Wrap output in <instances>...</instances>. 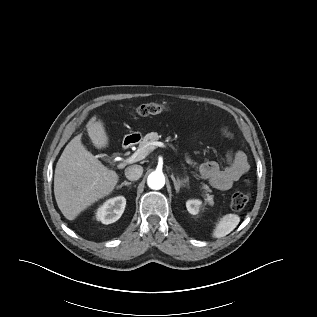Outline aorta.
Wrapping results in <instances>:
<instances>
[{
    "instance_id": "obj_1",
    "label": "aorta",
    "mask_w": 317,
    "mask_h": 317,
    "mask_svg": "<svg viewBox=\"0 0 317 317\" xmlns=\"http://www.w3.org/2000/svg\"><path fill=\"white\" fill-rule=\"evenodd\" d=\"M147 184L151 189L159 190L165 185V176L162 172L154 171L149 174Z\"/></svg>"
}]
</instances>
